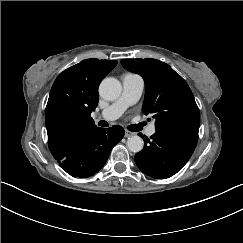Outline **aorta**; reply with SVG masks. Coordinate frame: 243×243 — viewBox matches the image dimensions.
Masks as SVG:
<instances>
[{
  "label": "aorta",
  "mask_w": 243,
  "mask_h": 243,
  "mask_svg": "<svg viewBox=\"0 0 243 243\" xmlns=\"http://www.w3.org/2000/svg\"><path fill=\"white\" fill-rule=\"evenodd\" d=\"M121 91V83L112 77L105 78L99 86V95L109 101L118 99ZM126 145L129 151L137 153L142 150L144 143L139 136L133 135L127 138Z\"/></svg>",
  "instance_id": "1"
}]
</instances>
